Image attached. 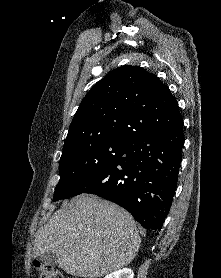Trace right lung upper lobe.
<instances>
[{"mask_svg":"<svg viewBox=\"0 0 221 278\" xmlns=\"http://www.w3.org/2000/svg\"><path fill=\"white\" fill-rule=\"evenodd\" d=\"M183 121L176 99L154 74L139 66L111 71L83 98L63 151L91 139L132 138Z\"/></svg>","mask_w":221,"mask_h":278,"instance_id":"cb5924a9","label":"right lung upper lobe"}]
</instances>
